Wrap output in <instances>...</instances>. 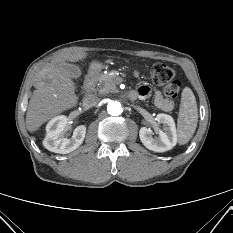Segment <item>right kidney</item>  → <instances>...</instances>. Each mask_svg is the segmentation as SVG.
<instances>
[{
	"label": "right kidney",
	"mask_w": 233,
	"mask_h": 233,
	"mask_svg": "<svg viewBox=\"0 0 233 233\" xmlns=\"http://www.w3.org/2000/svg\"><path fill=\"white\" fill-rule=\"evenodd\" d=\"M68 128V118L65 115L56 116L46 126V136L43 145L51 152L67 154L77 149L85 138L86 127L77 126L71 139L62 137L61 134Z\"/></svg>",
	"instance_id": "obj_1"
}]
</instances>
